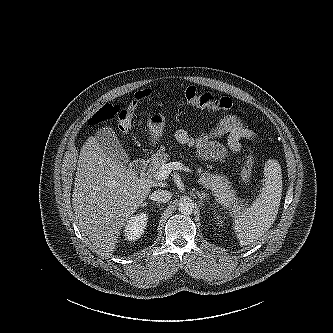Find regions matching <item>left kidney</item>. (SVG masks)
<instances>
[{
    "instance_id": "1",
    "label": "left kidney",
    "mask_w": 333,
    "mask_h": 333,
    "mask_svg": "<svg viewBox=\"0 0 333 333\" xmlns=\"http://www.w3.org/2000/svg\"><path fill=\"white\" fill-rule=\"evenodd\" d=\"M216 218L218 219V221L220 222V224L223 223V220L221 219V216L217 215Z\"/></svg>"
}]
</instances>
